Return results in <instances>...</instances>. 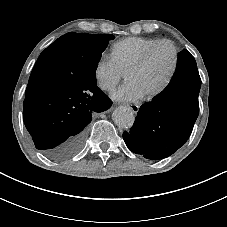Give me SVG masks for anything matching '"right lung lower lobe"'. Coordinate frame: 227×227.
<instances>
[{"label": "right lung lower lobe", "mask_w": 227, "mask_h": 227, "mask_svg": "<svg viewBox=\"0 0 227 227\" xmlns=\"http://www.w3.org/2000/svg\"><path fill=\"white\" fill-rule=\"evenodd\" d=\"M111 103L96 84L69 89L49 83L26 96L24 124L43 155L64 160L82 148L92 115Z\"/></svg>", "instance_id": "98d812e1"}]
</instances>
